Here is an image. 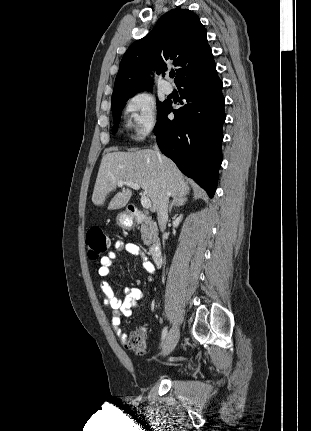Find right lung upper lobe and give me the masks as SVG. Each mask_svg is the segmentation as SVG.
I'll use <instances>...</instances> for the list:
<instances>
[{
  "label": "right lung upper lobe",
  "instance_id": "obj_1",
  "mask_svg": "<svg viewBox=\"0 0 311 431\" xmlns=\"http://www.w3.org/2000/svg\"><path fill=\"white\" fill-rule=\"evenodd\" d=\"M168 61L176 67L178 87L215 66L206 29L191 10L176 8L167 12L148 35L128 48L120 63L112 99L150 90V70L164 75Z\"/></svg>",
  "mask_w": 311,
  "mask_h": 431
}]
</instances>
